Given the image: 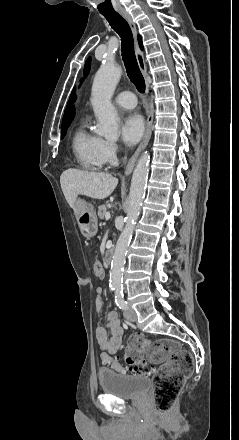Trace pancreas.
Here are the masks:
<instances>
[{"label":"pancreas","mask_w":239,"mask_h":440,"mask_svg":"<svg viewBox=\"0 0 239 440\" xmlns=\"http://www.w3.org/2000/svg\"><path fill=\"white\" fill-rule=\"evenodd\" d=\"M106 212H107V208L106 206H99L98 208V218H100V220H104L105 216H106Z\"/></svg>","instance_id":"obj_1"}]
</instances>
